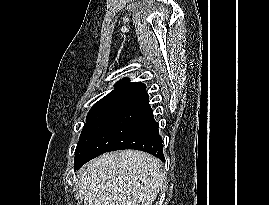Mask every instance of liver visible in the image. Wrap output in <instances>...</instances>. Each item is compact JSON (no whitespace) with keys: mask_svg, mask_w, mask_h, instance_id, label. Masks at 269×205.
<instances>
[{"mask_svg":"<svg viewBox=\"0 0 269 205\" xmlns=\"http://www.w3.org/2000/svg\"><path fill=\"white\" fill-rule=\"evenodd\" d=\"M163 180L159 160L137 150L103 154L78 178L84 205H152Z\"/></svg>","mask_w":269,"mask_h":205,"instance_id":"liver-1","label":"liver"}]
</instances>
